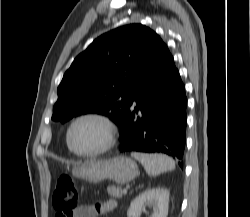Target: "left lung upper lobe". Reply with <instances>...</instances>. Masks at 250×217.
<instances>
[{
  "instance_id": "left-lung-upper-lobe-1",
  "label": "left lung upper lobe",
  "mask_w": 250,
  "mask_h": 217,
  "mask_svg": "<svg viewBox=\"0 0 250 217\" xmlns=\"http://www.w3.org/2000/svg\"><path fill=\"white\" fill-rule=\"evenodd\" d=\"M162 43L141 24L122 26L95 39L65 72L52 120L64 123L98 113L121 127L132 91L154 63Z\"/></svg>"
}]
</instances>
